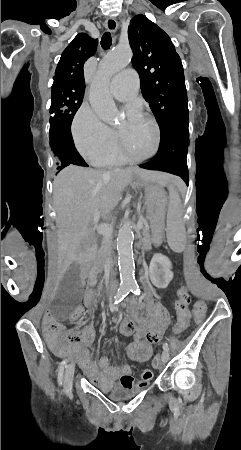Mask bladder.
Segmentation results:
<instances>
[{
	"label": "bladder",
	"mask_w": 241,
	"mask_h": 450,
	"mask_svg": "<svg viewBox=\"0 0 241 450\" xmlns=\"http://www.w3.org/2000/svg\"><path fill=\"white\" fill-rule=\"evenodd\" d=\"M134 395V392L123 387L117 386L110 392V397L116 401L126 400L131 398Z\"/></svg>",
	"instance_id": "1"
}]
</instances>
